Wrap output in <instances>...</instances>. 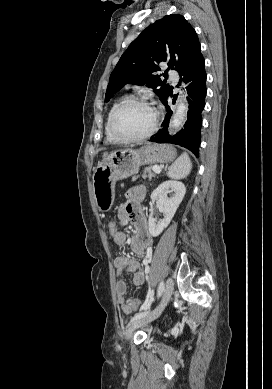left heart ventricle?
<instances>
[{
	"label": "left heart ventricle",
	"mask_w": 272,
	"mask_h": 389,
	"mask_svg": "<svg viewBox=\"0 0 272 389\" xmlns=\"http://www.w3.org/2000/svg\"><path fill=\"white\" fill-rule=\"evenodd\" d=\"M153 122V112L150 108L131 104L118 114L115 126L123 136H139L149 130Z\"/></svg>",
	"instance_id": "b2bd125f"
}]
</instances>
